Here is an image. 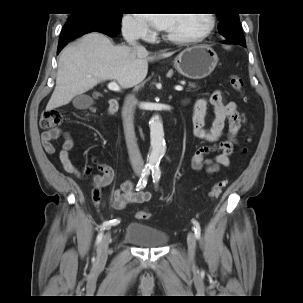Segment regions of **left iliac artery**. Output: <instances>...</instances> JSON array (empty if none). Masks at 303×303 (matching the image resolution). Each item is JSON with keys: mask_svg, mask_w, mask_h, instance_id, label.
<instances>
[{"mask_svg": "<svg viewBox=\"0 0 303 303\" xmlns=\"http://www.w3.org/2000/svg\"><path fill=\"white\" fill-rule=\"evenodd\" d=\"M160 176H161V172H160L159 166H158V165L153 166V167H152V177H153V182H154L155 184L158 183V181H159V179H160ZM192 223H193V225H194L195 237H196L197 239H199L200 236H201V228H200V225H199V223H198L197 221H195V220H192Z\"/></svg>", "mask_w": 303, "mask_h": 303, "instance_id": "44dca946", "label": "left iliac artery"}]
</instances>
